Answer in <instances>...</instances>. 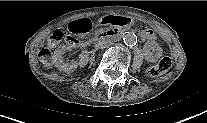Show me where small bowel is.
Returning <instances> with one entry per match:
<instances>
[{"label":"small bowel","instance_id":"obj_1","mask_svg":"<svg viewBox=\"0 0 207 123\" xmlns=\"http://www.w3.org/2000/svg\"><path fill=\"white\" fill-rule=\"evenodd\" d=\"M103 24L105 26H117V27H128L131 24V19L129 17H121V16H104ZM93 23L90 19H78L75 21H71L68 24V31L72 34L75 33H83L86 34L92 28ZM143 39H146L149 44H152L154 41V34L152 31H144L142 33Z\"/></svg>","mask_w":207,"mask_h":123}]
</instances>
